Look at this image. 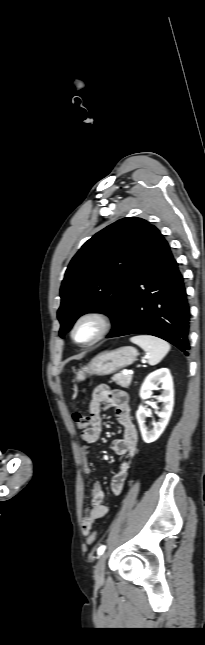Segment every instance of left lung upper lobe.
<instances>
[{"label": "left lung upper lobe", "instance_id": "obj_1", "mask_svg": "<svg viewBox=\"0 0 205 645\" xmlns=\"http://www.w3.org/2000/svg\"><path fill=\"white\" fill-rule=\"evenodd\" d=\"M149 226L141 218L120 219L90 238L73 257L60 288L61 337L87 312L108 315L111 333L116 330L129 271Z\"/></svg>", "mask_w": 205, "mask_h": 645}]
</instances>
